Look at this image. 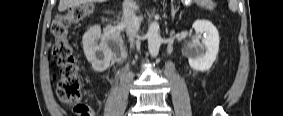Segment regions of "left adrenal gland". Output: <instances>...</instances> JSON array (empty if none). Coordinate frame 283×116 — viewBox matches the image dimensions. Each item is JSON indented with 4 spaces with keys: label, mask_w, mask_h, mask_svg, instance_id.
I'll return each mask as SVG.
<instances>
[{
    "label": "left adrenal gland",
    "mask_w": 283,
    "mask_h": 116,
    "mask_svg": "<svg viewBox=\"0 0 283 116\" xmlns=\"http://www.w3.org/2000/svg\"><path fill=\"white\" fill-rule=\"evenodd\" d=\"M178 9L179 8L174 7L173 4L171 5V17H172V19H174L175 14L177 13Z\"/></svg>",
    "instance_id": "obj_1"
}]
</instances>
